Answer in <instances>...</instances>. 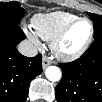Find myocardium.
<instances>
[{"label":"myocardium","instance_id":"obj_1","mask_svg":"<svg viewBox=\"0 0 102 102\" xmlns=\"http://www.w3.org/2000/svg\"><path fill=\"white\" fill-rule=\"evenodd\" d=\"M80 22H85L88 25L89 34L83 44L73 53H64L61 50V44L64 40L68 37L72 29L75 27L76 24ZM93 37V30L91 22L85 18H77L72 23H70L67 27H65L57 36L53 38L51 41V50L52 53L60 60L70 62L79 58L89 47Z\"/></svg>","mask_w":102,"mask_h":102}]
</instances>
